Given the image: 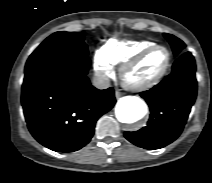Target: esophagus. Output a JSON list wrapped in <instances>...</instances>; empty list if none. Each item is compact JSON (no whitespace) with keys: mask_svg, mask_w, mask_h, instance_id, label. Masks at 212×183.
<instances>
[{"mask_svg":"<svg viewBox=\"0 0 212 183\" xmlns=\"http://www.w3.org/2000/svg\"><path fill=\"white\" fill-rule=\"evenodd\" d=\"M122 96V93L119 90L115 91V97L118 99Z\"/></svg>","mask_w":212,"mask_h":183,"instance_id":"esophagus-1","label":"esophagus"}]
</instances>
